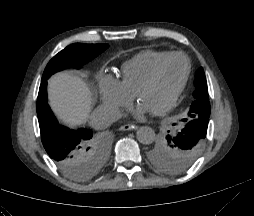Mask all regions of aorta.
<instances>
[{"label":"aorta","mask_w":254,"mask_h":216,"mask_svg":"<svg viewBox=\"0 0 254 216\" xmlns=\"http://www.w3.org/2000/svg\"><path fill=\"white\" fill-rule=\"evenodd\" d=\"M137 140L144 145H149L155 140V132L151 127L143 126L137 130Z\"/></svg>","instance_id":"obj_1"}]
</instances>
